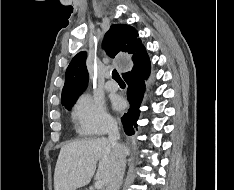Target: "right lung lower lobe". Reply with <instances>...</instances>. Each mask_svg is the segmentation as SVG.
I'll list each match as a JSON object with an SVG mask.
<instances>
[{"label":"right lung lower lobe","mask_w":234,"mask_h":190,"mask_svg":"<svg viewBox=\"0 0 234 190\" xmlns=\"http://www.w3.org/2000/svg\"><path fill=\"white\" fill-rule=\"evenodd\" d=\"M134 66L131 71L123 74V78L128 84V100L130 108L122 117L124 131L127 135H133L137 131V120L139 118V107L145 92V79L150 73V60L144 49L133 61Z\"/></svg>","instance_id":"1"}]
</instances>
